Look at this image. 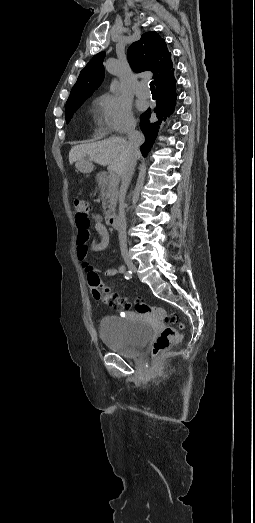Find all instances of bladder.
I'll use <instances>...</instances> for the list:
<instances>
[{
  "instance_id": "1",
  "label": "bladder",
  "mask_w": 255,
  "mask_h": 523,
  "mask_svg": "<svg viewBox=\"0 0 255 523\" xmlns=\"http://www.w3.org/2000/svg\"><path fill=\"white\" fill-rule=\"evenodd\" d=\"M132 319L133 324L127 328L119 320L102 318L99 332L105 345L126 356L138 354L149 340L152 327L143 320Z\"/></svg>"
}]
</instances>
